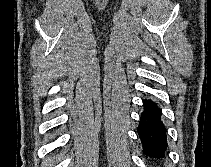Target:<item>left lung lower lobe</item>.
Segmentation results:
<instances>
[{"label":"left lung lower lobe","mask_w":211,"mask_h":167,"mask_svg":"<svg viewBox=\"0 0 211 167\" xmlns=\"http://www.w3.org/2000/svg\"><path fill=\"white\" fill-rule=\"evenodd\" d=\"M143 103L144 110L137 128L143 152L149 157H164L168 144L166 128L161 119V109L151 99H145Z\"/></svg>","instance_id":"1"}]
</instances>
